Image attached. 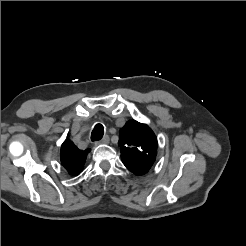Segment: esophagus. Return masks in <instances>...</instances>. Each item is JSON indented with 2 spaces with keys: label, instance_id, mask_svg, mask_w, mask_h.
Returning <instances> with one entry per match:
<instances>
[{
  "label": "esophagus",
  "instance_id": "obj_1",
  "mask_svg": "<svg viewBox=\"0 0 246 246\" xmlns=\"http://www.w3.org/2000/svg\"><path fill=\"white\" fill-rule=\"evenodd\" d=\"M110 141L109 136H104L101 140L97 141L96 144H108Z\"/></svg>",
  "mask_w": 246,
  "mask_h": 246
}]
</instances>
